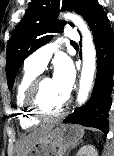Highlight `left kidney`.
Listing matches in <instances>:
<instances>
[{"label":"left kidney","mask_w":114,"mask_h":156,"mask_svg":"<svg viewBox=\"0 0 114 156\" xmlns=\"http://www.w3.org/2000/svg\"><path fill=\"white\" fill-rule=\"evenodd\" d=\"M76 156H98V152L93 145H84L79 149Z\"/></svg>","instance_id":"1"}]
</instances>
